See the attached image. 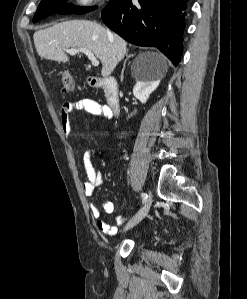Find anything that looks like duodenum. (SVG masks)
<instances>
[{"label": "duodenum", "instance_id": "obj_1", "mask_svg": "<svg viewBox=\"0 0 247 299\" xmlns=\"http://www.w3.org/2000/svg\"><path fill=\"white\" fill-rule=\"evenodd\" d=\"M90 84L93 87L101 88L104 91L108 106L114 114L119 112L120 96L118 83L114 78H90Z\"/></svg>", "mask_w": 247, "mask_h": 299}]
</instances>
